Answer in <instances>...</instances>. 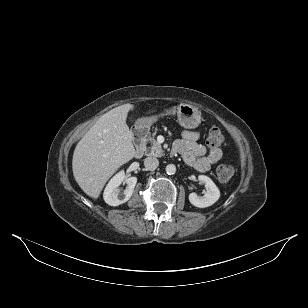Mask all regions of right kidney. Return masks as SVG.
I'll use <instances>...</instances> for the list:
<instances>
[{
	"label": "right kidney",
	"instance_id": "obj_1",
	"mask_svg": "<svg viewBox=\"0 0 308 308\" xmlns=\"http://www.w3.org/2000/svg\"><path fill=\"white\" fill-rule=\"evenodd\" d=\"M122 182L127 184V187L123 192L119 189ZM136 183V177L127 178L123 171L117 173L105 188L103 195L104 201L110 206H119L120 204L127 202L133 194Z\"/></svg>",
	"mask_w": 308,
	"mask_h": 308
}]
</instances>
